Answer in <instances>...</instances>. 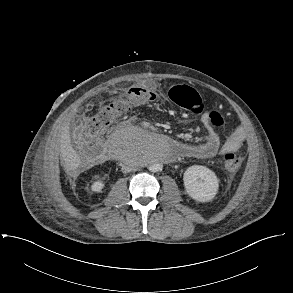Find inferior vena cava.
<instances>
[{"label": "inferior vena cava", "instance_id": "602c4592", "mask_svg": "<svg viewBox=\"0 0 293 293\" xmlns=\"http://www.w3.org/2000/svg\"><path fill=\"white\" fill-rule=\"evenodd\" d=\"M134 169H135V166L134 165H132V164H125V165L122 166L121 171L123 173H128V172L133 171Z\"/></svg>", "mask_w": 293, "mask_h": 293}]
</instances>
